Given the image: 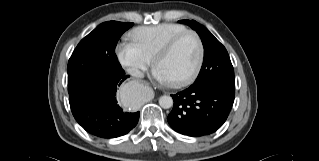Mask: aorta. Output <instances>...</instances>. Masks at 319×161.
<instances>
[{
  "label": "aorta",
  "mask_w": 319,
  "mask_h": 161,
  "mask_svg": "<svg viewBox=\"0 0 319 161\" xmlns=\"http://www.w3.org/2000/svg\"><path fill=\"white\" fill-rule=\"evenodd\" d=\"M159 105L164 109H169L173 106V99L171 96L163 95L159 98Z\"/></svg>",
  "instance_id": "1"
}]
</instances>
